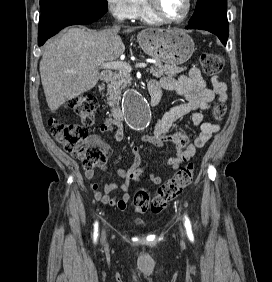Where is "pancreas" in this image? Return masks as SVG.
I'll list each match as a JSON object with an SVG mask.
<instances>
[{
	"instance_id": "obj_1",
	"label": "pancreas",
	"mask_w": 272,
	"mask_h": 282,
	"mask_svg": "<svg viewBox=\"0 0 272 282\" xmlns=\"http://www.w3.org/2000/svg\"><path fill=\"white\" fill-rule=\"evenodd\" d=\"M184 70H186V67H179L169 64L163 65L161 63L153 64V66L149 69L150 73L155 77H172ZM131 81L132 78L129 71L119 70L118 72L114 73L110 83L107 86V94L109 95L107 98L108 104H117L120 100L122 90L130 85Z\"/></svg>"
}]
</instances>
